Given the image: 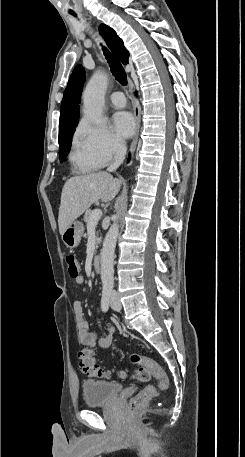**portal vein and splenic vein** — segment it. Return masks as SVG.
Masks as SVG:
<instances>
[{
	"instance_id": "1",
	"label": "portal vein and splenic vein",
	"mask_w": 245,
	"mask_h": 457,
	"mask_svg": "<svg viewBox=\"0 0 245 457\" xmlns=\"http://www.w3.org/2000/svg\"><path fill=\"white\" fill-rule=\"evenodd\" d=\"M102 216V210L101 208H95V210H93L91 216H90V222H94V224H96V222H98L99 218H101Z\"/></svg>"
}]
</instances>
